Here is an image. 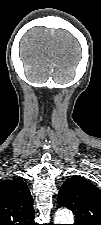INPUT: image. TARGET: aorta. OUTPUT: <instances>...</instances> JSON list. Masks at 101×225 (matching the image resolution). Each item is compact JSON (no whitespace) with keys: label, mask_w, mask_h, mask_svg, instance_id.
<instances>
[{"label":"aorta","mask_w":101,"mask_h":225,"mask_svg":"<svg viewBox=\"0 0 101 225\" xmlns=\"http://www.w3.org/2000/svg\"><path fill=\"white\" fill-rule=\"evenodd\" d=\"M55 224H74V218L68 209L58 210L54 220Z\"/></svg>","instance_id":"762f6f07"}]
</instances>
